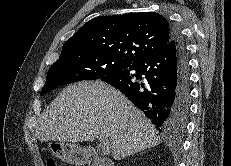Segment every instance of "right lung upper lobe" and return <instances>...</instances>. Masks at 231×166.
I'll return each mask as SVG.
<instances>
[{
  "label": "right lung upper lobe",
  "instance_id": "right-lung-upper-lobe-1",
  "mask_svg": "<svg viewBox=\"0 0 231 166\" xmlns=\"http://www.w3.org/2000/svg\"><path fill=\"white\" fill-rule=\"evenodd\" d=\"M171 38L172 26L159 13L101 16L88 21L68 39L60 57L97 52L133 62L159 52Z\"/></svg>",
  "mask_w": 231,
  "mask_h": 166
}]
</instances>
